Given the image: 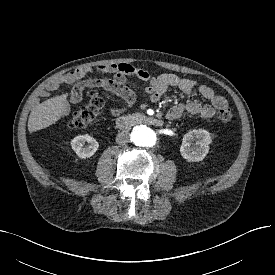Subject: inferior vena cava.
Masks as SVG:
<instances>
[{"instance_id":"inferior-vena-cava-1","label":"inferior vena cava","mask_w":275,"mask_h":275,"mask_svg":"<svg viewBox=\"0 0 275 275\" xmlns=\"http://www.w3.org/2000/svg\"><path fill=\"white\" fill-rule=\"evenodd\" d=\"M130 141V136L128 132H120L116 136V142L120 145H125Z\"/></svg>"}]
</instances>
